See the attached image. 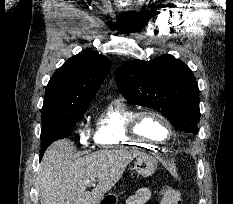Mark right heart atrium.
Listing matches in <instances>:
<instances>
[{
	"label": "right heart atrium",
	"instance_id": "1",
	"mask_svg": "<svg viewBox=\"0 0 233 204\" xmlns=\"http://www.w3.org/2000/svg\"><path fill=\"white\" fill-rule=\"evenodd\" d=\"M78 137H79V141L81 142V144L83 145H87L89 142V134L88 132L85 130L83 124L81 125L79 131H78Z\"/></svg>",
	"mask_w": 233,
	"mask_h": 204
}]
</instances>
